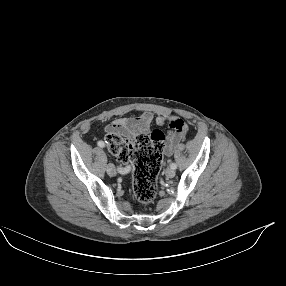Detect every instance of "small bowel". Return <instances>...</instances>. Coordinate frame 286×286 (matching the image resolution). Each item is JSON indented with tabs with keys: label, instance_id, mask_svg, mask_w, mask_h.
Returning <instances> with one entry per match:
<instances>
[{
	"label": "small bowel",
	"instance_id": "1",
	"mask_svg": "<svg viewBox=\"0 0 286 286\" xmlns=\"http://www.w3.org/2000/svg\"><path fill=\"white\" fill-rule=\"evenodd\" d=\"M179 121H182L181 118L175 114L164 113L154 116L151 112H143L134 117L117 118L105 126V131L108 135L117 134L131 140L137 135L150 133L153 125H169L171 130L168 132L164 152L170 156L187 132V126L182 130L178 125Z\"/></svg>",
	"mask_w": 286,
	"mask_h": 286
}]
</instances>
